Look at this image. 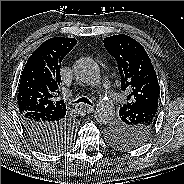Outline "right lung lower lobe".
<instances>
[{
  "mask_svg": "<svg viewBox=\"0 0 184 184\" xmlns=\"http://www.w3.org/2000/svg\"><path fill=\"white\" fill-rule=\"evenodd\" d=\"M22 126L28 137L39 149L43 147L58 146L68 130H72L74 138V125L67 117L47 118L41 113H25L20 115ZM62 149H67V146Z\"/></svg>",
  "mask_w": 184,
  "mask_h": 184,
  "instance_id": "obj_1",
  "label": "right lung lower lobe"
}]
</instances>
